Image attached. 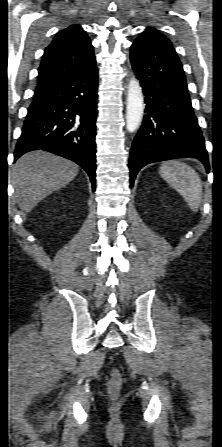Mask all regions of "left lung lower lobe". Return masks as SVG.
Segmentation results:
<instances>
[{"mask_svg": "<svg viewBox=\"0 0 222 447\" xmlns=\"http://www.w3.org/2000/svg\"><path fill=\"white\" fill-rule=\"evenodd\" d=\"M130 61L145 95L147 113L130 152V187L138 171L149 163L195 157L208 168L204 138L172 44L141 34L131 46Z\"/></svg>", "mask_w": 222, "mask_h": 447, "instance_id": "0a47b994", "label": "left lung lower lobe"}]
</instances>
